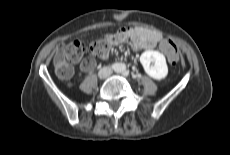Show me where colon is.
Returning <instances> with one entry per match:
<instances>
[{
  "mask_svg": "<svg viewBox=\"0 0 230 155\" xmlns=\"http://www.w3.org/2000/svg\"><path fill=\"white\" fill-rule=\"evenodd\" d=\"M157 48L164 55H167L171 64H177L179 61V52L175 44L170 39H159ZM109 50L106 41H96L90 46V53L93 57H101ZM86 52L85 45L80 41H72L65 44L61 49L57 50L53 57V65L56 75L64 80H69L73 75V69L69 62H77L81 60ZM92 58L83 60V67L88 68L93 65Z\"/></svg>",
  "mask_w": 230,
  "mask_h": 155,
  "instance_id": "5ec220e1",
  "label": "colon"
}]
</instances>
